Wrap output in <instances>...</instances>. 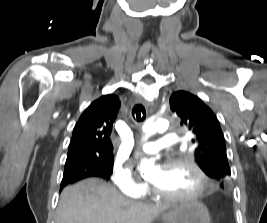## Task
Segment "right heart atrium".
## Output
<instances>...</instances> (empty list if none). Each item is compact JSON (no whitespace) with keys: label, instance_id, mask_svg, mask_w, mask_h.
I'll return each mask as SVG.
<instances>
[{"label":"right heart atrium","instance_id":"1","mask_svg":"<svg viewBox=\"0 0 267 223\" xmlns=\"http://www.w3.org/2000/svg\"><path fill=\"white\" fill-rule=\"evenodd\" d=\"M112 181L122 194L129 197L139 198L147 190L146 184L135 177L132 167L121 161H117L114 164Z\"/></svg>","mask_w":267,"mask_h":223}]
</instances>
